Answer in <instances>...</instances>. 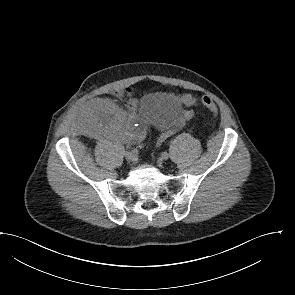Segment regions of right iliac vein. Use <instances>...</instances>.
Wrapping results in <instances>:
<instances>
[{
  "label": "right iliac vein",
  "instance_id": "right-iliac-vein-1",
  "mask_svg": "<svg viewBox=\"0 0 295 295\" xmlns=\"http://www.w3.org/2000/svg\"><path fill=\"white\" fill-rule=\"evenodd\" d=\"M125 157H126V160L129 162V163H133L135 162V155L131 152H127L125 154Z\"/></svg>",
  "mask_w": 295,
  "mask_h": 295
}]
</instances>
